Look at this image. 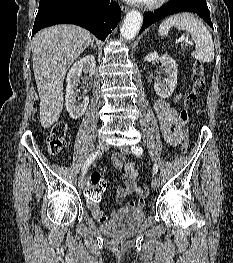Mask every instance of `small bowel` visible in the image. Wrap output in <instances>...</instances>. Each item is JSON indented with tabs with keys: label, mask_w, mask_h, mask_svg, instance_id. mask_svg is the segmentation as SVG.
<instances>
[{
	"label": "small bowel",
	"mask_w": 233,
	"mask_h": 263,
	"mask_svg": "<svg viewBox=\"0 0 233 263\" xmlns=\"http://www.w3.org/2000/svg\"><path fill=\"white\" fill-rule=\"evenodd\" d=\"M181 97L182 94H178L172 100L157 99L153 104L161 133L164 139L172 146L183 145L186 137L184 125L177 109L173 105L175 102L179 101ZM124 161L125 157L122 154L117 153L112 157L113 165L116 169L122 172V180L124 182V187H119L117 189L116 200L118 203H122L128 195L138 196L130 201L125 207L141 209L144 206V202L141 200L143 189L137 184L138 171L133 163L124 164ZM129 165H132V170H129ZM88 206L93 216L98 221L105 222L109 219V216L102 211L98 202H88Z\"/></svg>",
	"instance_id": "obj_1"
}]
</instances>
